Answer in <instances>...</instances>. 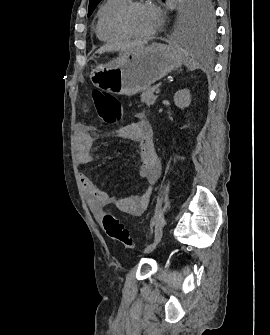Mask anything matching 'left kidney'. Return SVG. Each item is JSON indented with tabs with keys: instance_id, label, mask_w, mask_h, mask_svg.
<instances>
[{
	"instance_id": "obj_1",
	"label": "left kidney",
	"mask_w": 270,
	"mask_h": 335,
	"mask_svg": "<svg viewBox=\"0 0 270 335\" xmlns=\"http://www.w3.org/2000/svg\"><path fill=\"white\" fill-rule=\"evenodd\" d=\"M175 106L184 110V108H188L191 104V96L189 94V90H178L174 96Z\"/></svg>"
}]
</instances>
